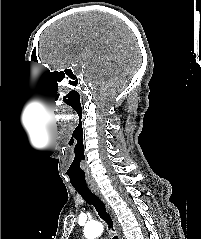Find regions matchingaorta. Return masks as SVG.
Instances as JSON below:
<instances>
[{
    "label": "aorta",
    "mask_w": 201,
    "mask_h": 239,
    "mask_svg": "<svg viewBox=\"0 0 201 239\" xmlns=\"http://www.w3.org/2000/svg\"><path fill=\"white\" fill-rule=\"evenodd\" d=\"M104 227L99 222L86 224L84 227V235L86 239H96L103 233Z\"/></svg>",
    "instance_id": "obj_1"
}]
</instances>
